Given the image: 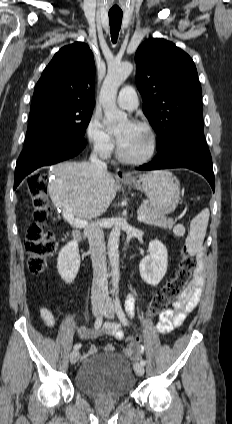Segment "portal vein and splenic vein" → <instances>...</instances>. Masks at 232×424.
Returning <instances> with one entry per match:
<instances>
[{"mask_svg": "<svg viewBox=\"0 0 232 424\" xmlns=\"http://www.w3.org/2000/svg\"><path fill=\"white\" fill-rule=\"evenodd\" d=\"M63 217L70 225H72L74 227L85 228V227L88 226V222L86 220L78 219V218L74 217V215L72 214V208L71 207H67V208L64 209ZM144 218H145L144 214L138 213V216H137L138 221H143Z\"/></svg>", "mask_w": 232, "mask_h": 424, "instance_id": "18ae733b", "label": "portal vein and splenic vein"}]
</instances>
